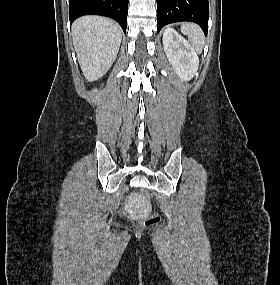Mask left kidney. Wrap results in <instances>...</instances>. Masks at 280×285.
<instances>
[{"instance_id": "obj_1", "label": "left kidney", "mask_w": 280, "mask_h": 285, "mask_svg": "<svg viewBox=\"0 0 280 285\" xmlns=\"http://www.w3.org/2000/svg\"><path fill=\"white\" fill-rule=\"evenodd\" d=\"M166 56L182 80H190L198 70L199 58L192 46L174 29L168 27L163 33Z\"/></svg>"}]
</instances>
